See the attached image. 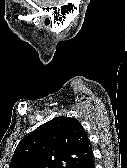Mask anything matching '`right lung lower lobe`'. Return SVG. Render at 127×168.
Masks as SVG:
<instances>
[{
	"label": "right lung lower lobe",
	"mask_w": 127,
	"mask_h": 168,
	"mask_svg": "<svg viewBox=\"0 0 127 168\" xmlns=\"http://www.w3.org/2000/svg\"><path fill=\"white\" fill-rule=\"evenodd\" d=\"M74 168H95L93 156L80 164L76 165Z\"/></svg>",
	"instance_id": "obj_1"
}]
</instances>
